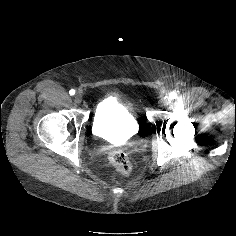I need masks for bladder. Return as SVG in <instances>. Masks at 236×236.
<instances>
[{
  "instance_id": "bladder-1",
  "label": "bladder",
  "mask_w": 236,
  "mask_h": 236,
  "mask_svg": "<svg viewBox=\"0 0 236 236\" xmlns=\"http://www.w3.org/2000/svg\"><path fill=\"white\" fill-rule=\"evenodd\" d=\"M137 122L130 106L120 99L102 102L96 109L93 118L95 134L104 139H113L134 133Z\"/></svg>"
}]
</instances>
